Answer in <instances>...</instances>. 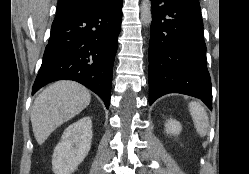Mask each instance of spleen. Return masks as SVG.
Listing matches in <instances>:
<instances>
[{"instance_id":"3e777b00","label":"spleen","mask_w":249,"mask_h":174,"mask_svg":"<svg viewBox=\"0 0 249 174\" xmlns=\"http://www.w3.org/2000/svg\"><path fill=\"white\" fill-rule=\"evenodd\" d=\"M189 111L192 116L197 133L204 137L209 127V118L204 107L198 102L189 103Z\"/></svg>"}]
</instances>
